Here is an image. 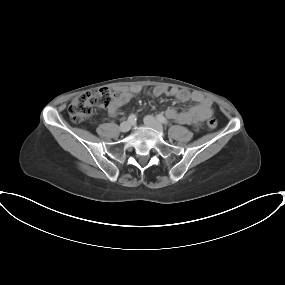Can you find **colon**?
<instances>
[{"label":"colon","mask_w":285,"mask_h":285,"mask_svg":"<svg viewBox=\"0 0 285 285\" xmlns=\"http://www.w3.org/2000/svg\"><path fill=\"white\" fill-rule=\"evenodd\" d=\"M118 92L108 88H103L94 92H85L71 102L68 113L73 122H82L88 119L96 109L108 107L111 102L117 98ZM218 125L216 118H210L207 121V126L210 129H215Z\"/></svg>","instance_id":"1"}]
</instances>
